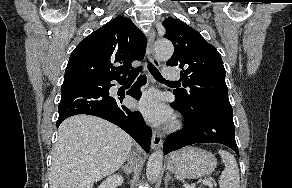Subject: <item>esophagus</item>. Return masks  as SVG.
<instances>
[{"label":"esophagus","instance_id":"1","mask_svg":"<svg viewBox=\"0 0 292 188\" xmlns=\"http://www.w3.org/2000/svg\"><path fill=\"white\" fill-rule=\"evenodd\" d=\"M154 39H155V31L151 29L148 34L147 55L150 62L153 65L159 67L160 63L158 59L155 57L154 49H153ZM162 142H163L162 135L157 131H153L151 148L152 149L159 148L162 145Z\"/></svg>","mask_w":292,"mask_h":188}]
</instances>
